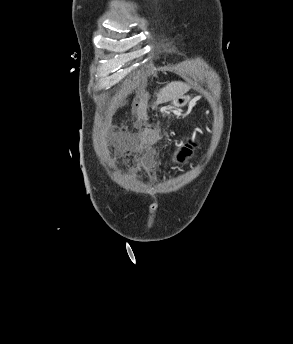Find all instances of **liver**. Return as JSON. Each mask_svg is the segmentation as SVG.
Wrapping results in <instances>:
<instances>
[{
  "instance_id": "liver-1",
  "label": "liver",
  "mask_w": 293,
  "mask_h": 344,
  "mask_svg": "<svg viewBox=\"0 0 293 344\" xmlns=\"http://www.w3.org/2000/svg\"><path fill=\"white\" fill-rule=\"evenodd\" d=\"M190 87L183 82H171L162 89H160L157 94V104L172 101L180 96H183Z\"/></svg>"
}]
</instances>
